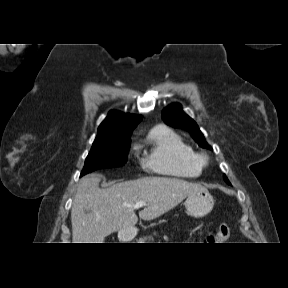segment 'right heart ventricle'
<instances>
[{"label":"right heart ventricle","instance_id":"right-heart-ventricle-1","mask_svg":"<svg viewBox=\"0 0 288 288\" xmlns=\"http://www.w3.org/2000/svg\"><path fill=\"white\" fill-rule=\"evenodd\" d=\"M145 145L147 153L143 163L152 172L185 179L201 176L203 166L196 151L170 128L159 125L151 129Z\"/></svg>","mask_w":288,"mask_h":288}]
</instances>
